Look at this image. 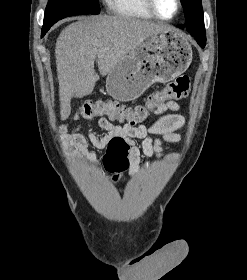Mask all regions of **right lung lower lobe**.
Listing matches in <instances>:
<instances>
[{"label": "right lung lower lobe", "mask_w": 247, "mask_h": 280, "mask_svg": "<svg viewBox=\"0 0 247 280\" xmlns=\"http://www.w3.org/2000/svg\"><path fill=\"white\" fill-rule=\"evenodd\" d=\"M50 29V27L48 28H42V37L46 34V32Z\"/></svg>", "instance_id": "obj_1"}]
</instances>
